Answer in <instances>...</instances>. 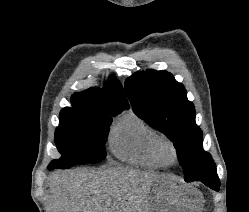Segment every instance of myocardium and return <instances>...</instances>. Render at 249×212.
<instances>
[{
	"label": "myocardium",
	"mask_w": 249,
	"mask_h": 212,
	"mask_svg": "<svg viewBox=\"0 0 249 212\" xmlns=\"http://www.w3.org/2000/svg\"><path fill=\"white\" fill-rule=\"evenodd\" d=\"M167 152H170L171 157ZM154 153L157 159L166 166H173L179 161V150L175 142L167 137H160L154 144Z\"/></svg>",
	"instance_id": "obj_1"
}]
</instances>
